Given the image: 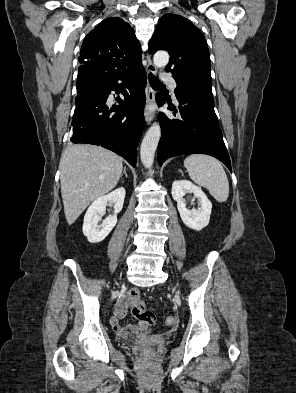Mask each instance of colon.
<instances>
[{
	"instance_id": "obj_1",
	"label": "colon",
	"mask_w": 296,
	"mask_h": 393,
	"mask_svg": "<svg viewBox=\"0 0 296 393\" xmlns=\"http://www.w3.org/2000/svg\"><path fill=\"white\" fill-rule=\"evenodd\" d=\"M128 306H130L133 315L138 318L141 322L146 323L147 325H154L156 323V315L154 312L147 310L145 308L144 302L141 299H135L128 302ZM165 324L168 327H172L175 325L174 318H167L165 320ZM152 349H146L143 351L142 356L146 359H149L153 356Z\"/></svg>"
}]
</instances>
